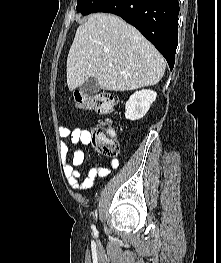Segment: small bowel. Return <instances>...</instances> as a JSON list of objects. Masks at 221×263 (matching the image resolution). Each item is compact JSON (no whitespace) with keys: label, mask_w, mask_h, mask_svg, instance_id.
Wrapping results in <instances>:
<instances>
[{"label":"small bowel","mask_w":221,"mask_h":263,"mask_svg":"<svg viewBox=\"0 0 221 263\" xmlns=\"http://www.w3.org/2000/svg\"><path fill=\"white\" fill-rule=\"evenodd\" d=\"M59 136L61 138L60 153L64 159V173L71 188L81 191L87 190L93 185L96 178L107 177L111 169L118 168L119 161L112 159L110 161V168L93 167L81 180L82 174L77 167L84 162L85 153L81 149H75L71 159H69V147L64 140L68 138L73 145L87 146L91 143V133L86 129L61 127L59 129Z\"/></svg>","instance_id":"1"}]
</instances>
